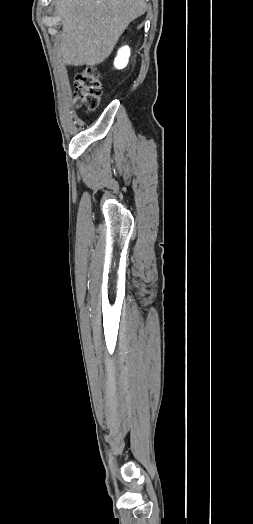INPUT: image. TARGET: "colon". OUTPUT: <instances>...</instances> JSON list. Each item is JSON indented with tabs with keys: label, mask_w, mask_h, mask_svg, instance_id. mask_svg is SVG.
Listing matches in <instances>:
<instances>
[{
	"label": "colon",
	"mask_w": 253,
	"mask_h": 524,
	"mask_svg": "<svg viewBox=\"0 0 253 524\" xmlns=\"http://www.w3.org/2000/svg\"><path fill=\"white\" fill-rule=\"evenodd\" d=\"M75 101L87 111L95 110L100 102L102 86L96 66L87 65L75 75Z\"/></svg>",
	"instance_id": "5ec220e1"
}]
</instances>
